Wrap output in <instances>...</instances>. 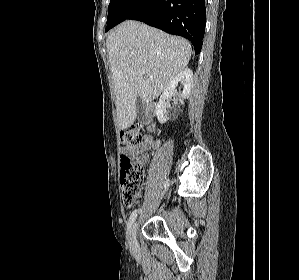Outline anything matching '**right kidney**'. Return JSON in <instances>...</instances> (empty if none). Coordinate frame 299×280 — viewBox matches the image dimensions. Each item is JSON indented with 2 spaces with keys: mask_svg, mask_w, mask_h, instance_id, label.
Returning <instances> with one entry per match:
<instances>
[{
  "mask_svg": "<svg viewBox=\"0 0 299 280\" xmlns=\"http://www.w3.org/2000/svg\"><path fill=\"white\" fill-rule=\"evenodd\" d=\"M179 82H183V91L179 93L181 104H184V100L187 99L191 93L193 86V72L189 68L182 70L167 86L163 94L160 96L159 102L156 106V116L160 123H165L168 120L166 115V100H168L175 92L176 86Z\"/></svg>",
  "mask_w": 299,
  "mask_h": 280,
  "instance_id": "obj_1",
  "label": "right kidney"
}]
</instances>
